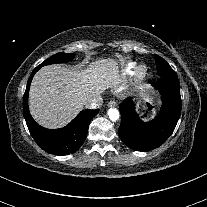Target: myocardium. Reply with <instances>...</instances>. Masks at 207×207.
<instances>
[{"label":"myocardium","instance_id":"f54148a6","mask_svg":"<svg viewBox=\"0 0 207 207\" xmlns=\"http://www.w3.org/2000/svg\"><path fill=\"white\" fill-rule=\"evenodd\" d=\"M146 74V67L139 65L136 67V77L137 79H142Z\"/></svg>","mask_w":207,"mask_h":207}]
</instances>
